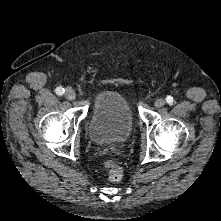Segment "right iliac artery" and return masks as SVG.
Returning <instances> with one entry per match:
<instances>
[{
	"instance_id": "right-iliac-artery-1",
	"label": "right iliac artery",
	"mask_w": 221,
	"mask_h": 221,
	"mask_svg": "<svg viewBox=\"0 0 221 221\" xmlns=\"http://www.w3.org/2000/svg\"><path fill=\"white\" fill-rule=\"evenodd\" d=\"M55 91H56V94L59 96L63 95L65 92L64 88L62 87H57Z\"/></svg>"
}]
</instances>
